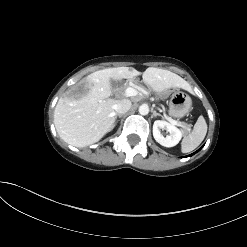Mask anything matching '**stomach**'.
<instances>
[{"instance_id": "0dacf381", "label": "stomach", "mask_w": 247, "mask_h": 247, "mask_svg": "<svg viewBox=\"0 0 247 247\" xmlns=\"http://www.w3.org/2000/svg\"><path fill=\"white\" fill-rule=\"evenodd\" d=\"M192 107L191 97L180 91L179 89L173 90L169 101V114L175 118L184 117Z\"/></svg>"}]
</instances>
